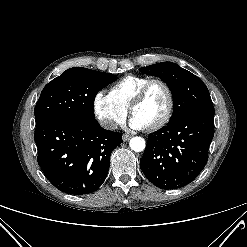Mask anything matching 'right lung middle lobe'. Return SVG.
Masks as SVG:
<instances>
[{
    "label": "right lung middle lobe",
    "mask_w": 247,
    "mask_h": 247,
    "mask_svg": "<svg viewBox=\"0 0 247 247\" xmlns=\"http://www.w3.org/2000/svg\"><path fill=\"white\" fill-rule=\"evenodd\" d=\"M110 73L74 67L49 82L35 106V121L57 117L94 119L93 103L103 87L115 81Z\"/></svg>",
    "instance_id": "right-lung-middle-lobe-1"
}]
</instances>
